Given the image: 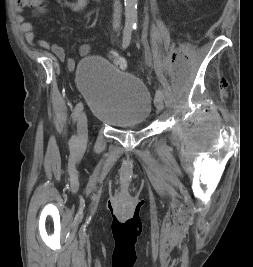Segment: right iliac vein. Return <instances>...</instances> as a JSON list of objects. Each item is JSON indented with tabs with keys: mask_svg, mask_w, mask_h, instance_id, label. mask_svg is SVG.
I'll return each instance as SVG.
<instances>
[{
	"mask_svg": "<svg viewBox=\"0 0 253 267\" xmlns=\"http://www.w3.org/2000/svg\"><path fill=\"white\" fill-rule=\"evenodd\" d=\"M77 130L78 142L80 145H84L88 137L87 116L85 112H82L78 117Z\"/></svg>",
	"mask_w": 253,
	"mask_h": 267,
	"instance_id": "63e3f726",
	"label": "right iliac vein"
}]
</instances>
